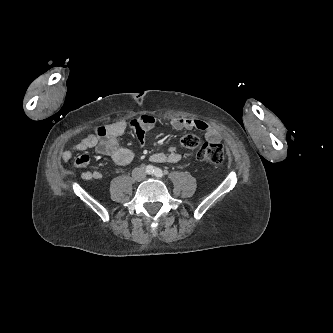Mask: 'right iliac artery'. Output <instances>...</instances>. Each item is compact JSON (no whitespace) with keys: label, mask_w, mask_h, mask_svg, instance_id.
I'll return each mask as SVG.
<instances>
[{"label":"right iliac artery","mask_w":333,"mask_h":333,"mask_svg":"<svg viewBox=\"0 0 333 333\" xmlns=\"http://www.w3.org/2000/svg\"><path fill=\"white\" fill-rule=\"evenodd\" d=\"M146 172H147L148 174H153V173H154V168H153L152 166H147V168H146Z\"/></svg>","instance_id":"82829eb1"}]
</instances>
